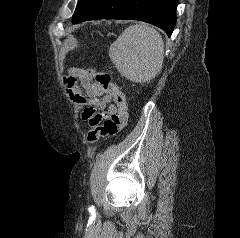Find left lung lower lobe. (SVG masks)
I'll list each match as a JSON object with an SVG mask.
<instances>
[{
	"mask_svg": "<svg viewBox=\"0 0 240 238\" xmlns=\"http://www.w3.org/2000/svg\"><path fill=\"white\" fill-rule=\"evenodd\" d=\"M178 0H91L73 24L100 19H130L154 24L171 36Z\"/></svg>",
	"mask_w": 240,
	"mask_h": 238,
	"instance_id": "obj_1",
	"label": "left lung lower lobe"
}]
</instances>
